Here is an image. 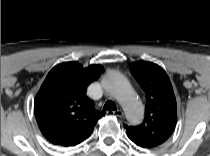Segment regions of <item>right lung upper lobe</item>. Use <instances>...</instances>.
<instances>
[{
    "label": "right lung upper lobe",
    "instance_id": "1",
    "mask_svg": "<svg viewBox=\"0 0 210 156\" xmlns=\"http://www.w3.org/2000/svg\"><path fill=\"white\" fill-rule=\"evenodd\" d=\"M102 66L83 69L76 62L55 66L47 75L34 100L35 117L47 140L74 146L88 138L103 114L86 96L87 86L99 78Z\"/></svg>",
    "mask_w": 210,
    "mask_h": 156
}]
</instances>
